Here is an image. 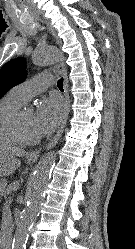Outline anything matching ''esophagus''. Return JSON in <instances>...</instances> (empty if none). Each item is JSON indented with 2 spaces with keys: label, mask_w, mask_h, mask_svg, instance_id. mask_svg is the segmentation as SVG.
I'll use <instances>...</instances> for the list:
<instances>
[{
  "label": "esophagus",
  "mask_w": 135,
  "mask_h": 249,
  "mask_svg": "<svg viewBox=\"0 0 135 249\" xmlns=\"http://www.w3.org/2000/svg\"><path fill=\"white\" fill-rule=\"evenodd\" d=\"M52 34L53 36L56 38L57 44L59 46H61V41L58 38L57 34L55 33L54 30H52ZM58 70L61 73L63 79H64V94L66 97V111L61 123L60 128L58 129L57 133L54 135V137L50 140V142L48 143L46 149H51L52 147H54L56 145V143L58 142L59 138L61 137L63 130L66 126L67 120H68V116H69V112H70V97H69V92H68V78H67V73H66V69L65 66L63 64V62H60L58 64ZM41 150H33L29 153L28 157L31 159H38L40 156Z\"/></svg>",
  "instance_id": "esophagus-1"
}]
</instances>
